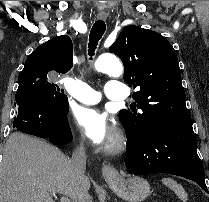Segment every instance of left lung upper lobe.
Returning <instances> with one entry per match:
<instances>
[{
    "mask_svg": "<svg viewBox=\"0 0 209 202\" xmlns=\"http://www.w3.org/2000/svg\"><path fill=\"white\" fill-rule=\"evenodd\" d=\"M109 51L123 62L125 83L140 88L133 93L132 111L119 112L127 136L146 138L161 123L191 122L177 55L169 41L157 32L127 26Z\"/></svg>",
    "mask_w": 209,
    "mask_h": 202,
    "instance_id": "left-lung-upper-lobe-1",
    "label": "left lung upper lobe"
}]
</instances>
